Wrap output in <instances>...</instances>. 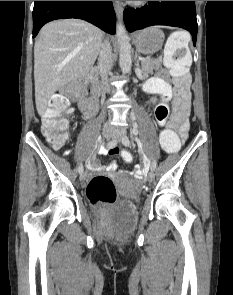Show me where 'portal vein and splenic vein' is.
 Wrapping results in <instances>:
<instances>
[{
	"label": "portal vein and splenic vein",
	"instance_id": "18ae733b",
	"mask_svg": "<svg viewBox=\"0 0 233 295\" xmlns=\"http://www.w3.org/2000/svg\"><path fill=\"white\" fill-rule=\"evenodd\" d=\"M140 60H142V61H146V60H151V59H150V58H148V59L141 58Z\"/></svg>",
	"mask_w": 233,
	"mask_h": 295
}]
</instances>
